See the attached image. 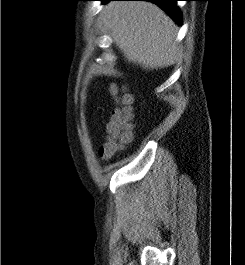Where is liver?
Here are the masks:
<instances>
[{"instance_id":"6515ba94","label":"liver","mask_w":245,"mask_h":265,"mask_svg":"<svg viewBox=\"0 0 245 265\" xmlns=\"http://www.w3.org/2000/svg\"><path fill=\"white\" fill-rule=\"evenodd\" d=\"M113 41L128 62L144 69L164 68L180 55L174 21L157 5L139 1H112L101 11Z\"/></svg>"}]
</instances>
